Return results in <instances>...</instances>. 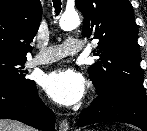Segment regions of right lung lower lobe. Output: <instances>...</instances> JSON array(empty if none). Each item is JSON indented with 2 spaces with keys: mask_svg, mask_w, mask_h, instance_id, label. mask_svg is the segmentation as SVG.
Here are the masks:
<instances>
[{
  "mask_svg": "<svg viewBox=\"0 0 147 131\" xmlns=\"http://www.w3.org/2000/svg\"><path fill=\"white\" fill-rule=\"evenodd\" d=\"M0 118L13 119L44 131H54L55 115L38 96L34 81L0 85Z\"/></svg>",
  "mask_w": 147,
  "mask_h": 131,
  "instance_id": "right-lung-lower-lobe-1",
  "label": "right lung lower lobe"
}]
</instances>
